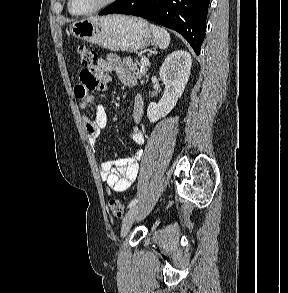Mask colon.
Segmentation results:
<instances>
[{
    "label": "colon",
    "mask_w": 288,
    "mask_h": 293,
    "mask_svg": "<svg viewBox=\"0 0 288 293\" xmlns=\"http://www.w3.org/2000/svg\"><path fill=\"white\" fill-rule=\"evenodd\" d=\"M77 53L84 70L88 71L94 67V63L97 60V54L93 49L85 45H80L77 48ZM109 209L111 213L118 218L123 216L125 210L123 203L117 199L110 200Z\"/></svg>",
    "instance_id": "obj_1"
}]
</instances>
